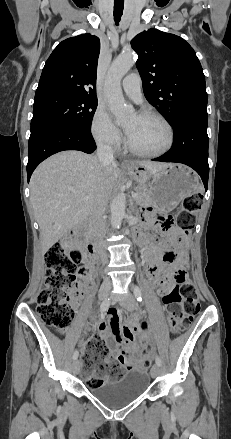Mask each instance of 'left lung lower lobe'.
I'll return each instance as SVG.
<instances>
[{
    "label": "left lung lower lobe",
    "instance_id": "1",
    "mask_svg": "<svg viewBox=\"0 0 231 439\" xmlns=\"http://www.w3.org/2000/svg\"><path fill=\"white\" fill-rule=\"evenodd\" d=\"M207 119V112H193L179 118L173 128L172 148L153 159L190 166L200 175L206 190L209 176Z\"/></svg>",
    "mask_w": 231,
    "mask_h": 439
}]
</instances>
